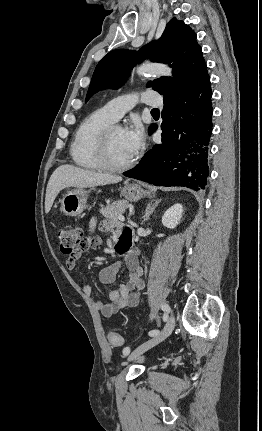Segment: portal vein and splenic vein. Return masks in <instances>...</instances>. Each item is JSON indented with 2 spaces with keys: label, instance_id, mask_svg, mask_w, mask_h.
I'll use <instances>...</instances> for the list:
<instances>
[{
  "label": "portal vein and splenic vein",
  "instance_id": "portal-vein-and-splenic-vein-1",
  "mask_svg": "<svg viewBox=\"0 0 262 431\" xmlns=\"http://www.w3.org/2000/svg\"><path fill=\"white\" fill-rule=\"evenodd\" d=\"M119 220H120V221H125L124 216L120 215V216H119Z\"/></svg>",
  "mask_w": 262,
  "mask_h": 431
}]
</instances>
